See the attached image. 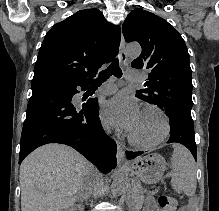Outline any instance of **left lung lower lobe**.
I'll list each match as a JSON object with an SVG mask.
<instances>
[{
	"instance_id": "1",
	"label": "left lung lower lobe",
	"mask_w": 219,
	"mask_h": 211,
	"mask_svg": "<svg viewBox=\"0 0 219 211\" xmlns=\"http://www.w3.org/2000/svg\"><path fill=\"white\" fill-rule=\"evenodd\" d=\"M170 138L167 143H180L186 146L197 160V149L194 137V124L185 122H172L170 123ZM143 152L126 151L127 159H133Z\"/></svg>"
}]
</instances>
